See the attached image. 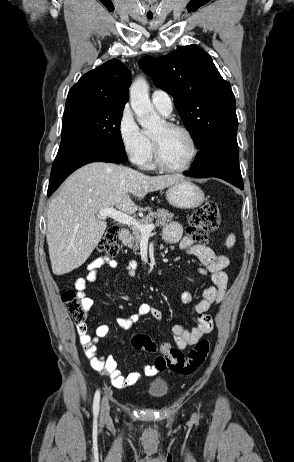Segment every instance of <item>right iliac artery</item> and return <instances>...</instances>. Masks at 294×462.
I'll list each match as a JSON object with an SVG mask.
<instances>
[{
  "label": "right iliac artery",
  "instance_id": "right-iliac-artery-1",
  "mask_svg": "<svg viewBox=\"0 0 294 462\" xmlns=\"http://www.w3.org/2000/svg\"><path fill=\"white\" fill-rule=\"evenodd\" d=\"M99 404H100V391L97 390L94 395V401H93V414L95 417H97L99 413Z\"/></svg>",
  "mask_w": 294,
  "mask_h": 462
}]
</instances>
